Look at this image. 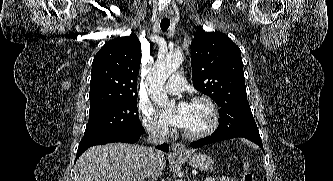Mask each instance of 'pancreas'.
<instances>
[{
	"mask_svg": "<svg viewBox=\"0 0 333 181\" xmlns=\"http://www.w3.org/2000/svg\"><path fill=\"white\" fill-rule=\"evenodd\" d=\"M216 181H234V180L230 179L229 177L223 176L220 179H217Z\"/></svg>",
	"mask_w": 333,
	"mask_h": 181,
	"instance_id": "1",
	"label": "pancreas"
}]
</instances>
